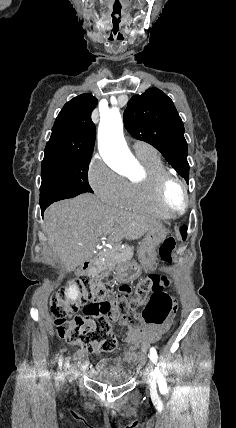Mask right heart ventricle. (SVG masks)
<instances>
[{"instance_id": "1", "label": "right heart ventricle", "mask_w": 236, "mask_h": 428, "mask_svg": "<svg viewBox=\"0 0 236 428\" xmlns=\"http://www.w3.org/2000/svg\"><path fill=\"white\" fill-rule=\"evenodd\" d=\"M134 156L142 166L143 174L137 179L127 181V190L122 207L138 210L161 220L173 219V214L158 206L153 193L154 180L158 176L168 173L160 157L153 149L144 154L134 152Z\"/></svg>"}]
</instances>
